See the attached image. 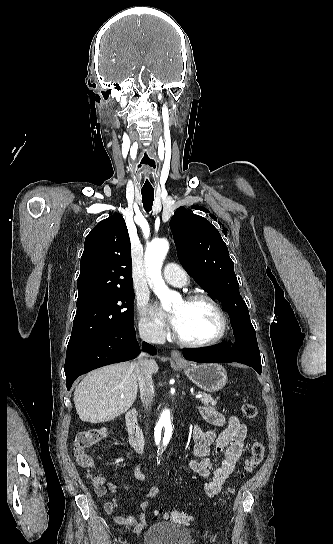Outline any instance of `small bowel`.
<instances>
[{
  "label": "small bowel",
  "mask_w": 333,
  "mask_h": 544,
  "mask_svg": "<svg viewBox=\"0 0 333 544\" xmlns=\"http://www.w3.org/2000/svg\"><path fill=\"white\" fill-rule=\"evenodd\" d=\"M200 414L206 422L213 426L212 429L203 430L198 426L193 427L192 459L188 463L190 471L206 479L205 493L209 497L218 495L222 486L234 472L241 457L247 435V427L235 416L225 417L215 407L202 406ZM223 427L221 431L216 428ZM219 457L221 459L219 460ZM144 464L139 463L134 469V476L140 482L146 481L143 473ZM94 492L98 497H104L107 493H116L117 485L111 479L98 477L94 481ZM157 495L154 487L146 493L147 498ZM149 504L143 501L140 509L146 511ZM103 509L112 520L123 528L132 527L135 534L140 533L147 524L145 512L120 514L117 512L115 500L106 501Z\"/></svg>",
  "instance_id": "1"
}]
</instances>
